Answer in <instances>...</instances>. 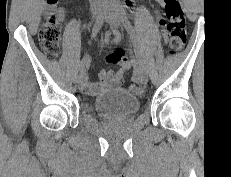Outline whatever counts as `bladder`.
Wrapping results in <instances>:
<instances>
[{
  "label": "bladder",
  "mask_w": 231,
  "mask_h": 177,
  "mask_svg": "<svg viewBox=\"0 0 231 177\" xmlns=\"http://www.w3.org/2000/svg\"><path fill=\"white\" fill-rule=\"evenodd\" d=\"M138 98L123 88H108L94 99L96 112L108 119L125 118L139 109Z\"/></svg>",
  "instance_id": "31cf9c89"
}]
</instances>
